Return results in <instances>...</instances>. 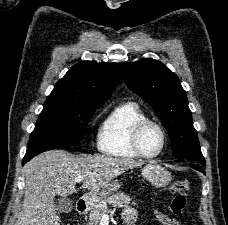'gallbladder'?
Segmentation results:
<instances>
[{"label":"gallbladder","mask_w":228,"mask_h":225,"mask_svg":"<svg viewBox=\"0 0 228 225\" xmlns=\"http://www.w3.org/2000/svg\"><path fill=\"white\" fill-rule=\"evenodd\" d=\"M56 209L59 213H71L73 209V201L71 199H58L56 203Z\"/></svg>","instance_id":"obj_1"}]
</instances>
